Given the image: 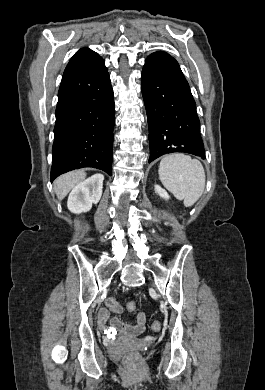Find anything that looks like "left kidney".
I'll return each mask as SVG.
<instances>
[{
  "mask_svg": "<svg viewBox=\"0 0 265 390\" xmlns=\"http://www.w3.org/2000/svg\"><path fill=\"white\" fill-rule=\"evenodd\" d=\"M155 192L163 199L168 200L170 198L168 192L159 185H155Z\"/></svg>",
  "mask_w": 265,
  "mask_h": 390,
  "instance_id": "1",
  "label": "left kidney"
}]
</instances>
